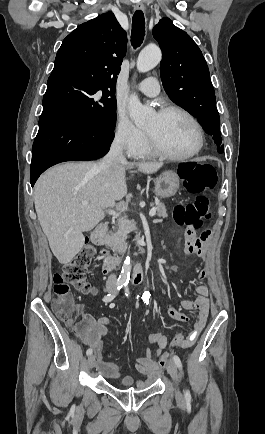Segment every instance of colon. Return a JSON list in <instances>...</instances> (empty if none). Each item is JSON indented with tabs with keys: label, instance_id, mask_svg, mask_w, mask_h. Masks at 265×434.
<instances>
[{
	"label": "colon",
	"instance_id": "5ec220e1",
	"mask_svg": "<svg viewBox=\"0 0 265 434\" xmlns=\"http://www.w3.org/2000/svg\"><path fill=\"white\" fill-rule=\"evenodd\" d=\"M196 160L187 158L180 166V179L186 181V191L197 197L193 202L177 205L172 213L176 224L191 228L196 232L200 230L204 220L210 218L209 202L206 193L213 190L216 184V171L212 165L196 164ZM91 264V256L88 252H80L76 258L66 264L61 273L53 278V305L61 318V327H76L77 314L68 304L65 298L71 288L84 293L93 294L94 287L87 281V272ZM184 336L178 334L173 339V347L179 343L185 344ZM165 355L158 360V365L163 369L168 356L172 355L171 349L165 350Z\"/></svg>",
	"mask_w": 265,
	"mask_h": 434
}]
</instances>
